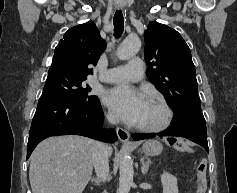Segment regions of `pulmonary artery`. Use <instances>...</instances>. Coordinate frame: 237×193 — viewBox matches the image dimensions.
<instances>
[{"label": "pulmonary artery", "instance_id": "e3ab8cb5", "mask_svg": "<svg viewBox=\"0 0 237 193\" xmlns=\"http://www.w3.org/2000/svg\"><path fill=\"white\" fill-rule=\"evenodd\" d=\"M143 75V61L140 58L132 59L127 65L111 68L101 75L99 80L108 83H124L139 81Z\"/></svg>", "mask_w": 237, "mask_h": 193}]
</instances>
